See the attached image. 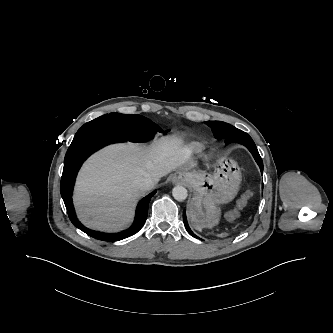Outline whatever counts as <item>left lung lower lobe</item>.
Masks as SVG:
<instances>
[{
  "mask_svg": "<svg viewBox=\"0 0 333 333\" xmlns=\"http://www.w3.org/2000/svg\"><path fill=\"white\" fill-rule=\"evenodd\" d=\"M241 137L243 138L244 141H243L242 143H240V144H243L244 146H246V147L248 148V150L252 153L254 159L256 160V162H257V164L259 165V167H260V169H261V172H262V171H263V162H262V159H261V157H260V155H259V152H258V150H257V148H256L255 143L253 142V140L251 139V137H250L247 133H244L243 131H242V133H241ZM226 143H229V142H226ZM262 187H263V186H262ZM183 221H184V225H185V227H186L188 233H189L191 236H193V237L199 239V237H197V236L191 231V229L189 228L188 223H187V219H186V214H185V212L183 213Z\"/></svg>",
  "mask_w": 333,
  "mask_h": 333,
  "instance_id": "obj_1",
  "label": "left lung lower lobe"
}]
</instances>
